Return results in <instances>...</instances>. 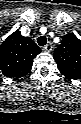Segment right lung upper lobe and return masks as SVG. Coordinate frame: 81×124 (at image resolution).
<instances>
[{
	"instance_id": "obj_1",
	"label": "right lung upper lobe",
	"mask_w": 81,
	"mask_h": 124,
	"mask_svg": "<svg viewBox=\"0 0 81 124\" xmlns=\"http://www.w3.org/2000/svg\"><path fill=\"white\" fill-rule=\"evenodd\" d=\"M40 52L31 38L16 30L0 45V70L6 77L19 79L30 72L33 59Z\"/></svg>"
}]
</instances>
